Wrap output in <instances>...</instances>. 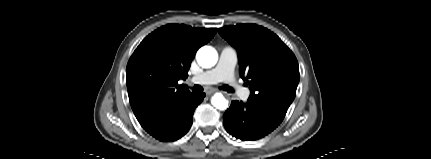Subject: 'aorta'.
<instances>
[{
	"label": "aorta",
	"mask_w": 431,
	"mask_h": 159,
	"mask_svg": "<svg viewBox=\"0 0 431 159\" xmlns=\"http://www.w3.org/2000/svg\"><path fill=\"white\" fill-rule=\"evenodd\" d=\"M198 64L203 68L213 67L218 61L217 51L211 46L201 47L196 54ZM211 104L219 110H226L228 108V100L220 94L216 93L212 99Z\"/></svg>",
	"instance_id": "obj_1"
}]
</instances>
